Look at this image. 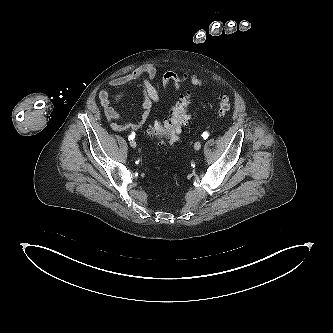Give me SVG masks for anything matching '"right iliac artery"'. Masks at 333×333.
Listing matches in <instances>:
<instances>
[{
  "mask_svg": "<svg viewBox=\"0 0 333 333\" xmlns=\"http://www.w3.org/2000/svg\"><path fill=\"white\" fill-rule=\"evenodd\" d=\"M135 138V134L134 133H131L128 137L129 140H133Z\"/></svg>",
  "mask_w": 333,
  "mask_h": 333,
  "instance_id": "1",
  "label": "right iliac artery"
}]
</instances>
